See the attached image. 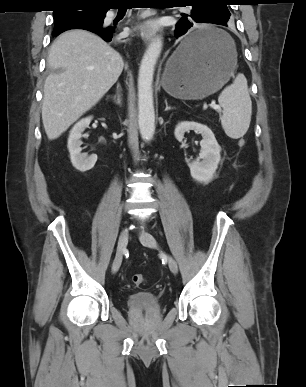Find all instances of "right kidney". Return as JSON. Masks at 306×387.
I'll return each mask as SVG.
<instances>
[{
	"instance_id": "right-kidney-1",
	"label": "right kidney",
	"mask_w": 306,
	"mask_h": 387,
	"mask_svg": "<svg viewBox=\"0 0 306 387\" xmlns=\"http://www.w3.org/2000/svg\"><path fill=\"white\" fill-rule=\"evenodd\" d=\"M92 117H86L77 122L71 129L68 138V150L70 153V159L73 167L80 172H85L92 169L97 161V155L92 154L90 156L87 153H81L82 148V133L89 127Z\"/></svg>"
}]
</instances>
